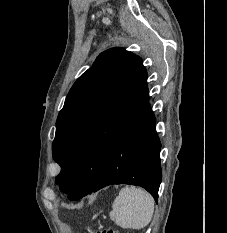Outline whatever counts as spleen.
Returning <instances> with one entry per match:
<instances>
[{
  "label": "spleen",
  "instance_id": "1",
  "mask_svg": "<svg viewBox=\"0 0 227 233\" xmlns=\"http://www.w3.org/2000/svg\"><path fill=\"white\" fill-rule=\"evenodd\" d=\"M110 218L124 229H142L152 220L153 197L141 188L124 187L115 198Z\"/></svg>",
  "mask_w": 227,
  "mask_h": 233
}]
</instances>
